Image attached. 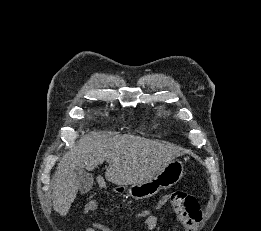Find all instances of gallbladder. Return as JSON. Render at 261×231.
Wrapping results in <instances>:
<instances>
[{
    "label": "gallbladder",
    "mask_w": 261,
    "mask_h": 231,
    "mask_svg": "<svg viewBox=\"0 0 261 231\" xmlns=\"http://www.w3.org/2000/svg\"><path fill=\"white\" fill-rule=\"evenodd\" d=\"M76 178L79 182V190L82 194L90 191L93 185V176L83 169L77 171Z\"/></svg>",
    "instance_id": "1"
}]
</instances>
